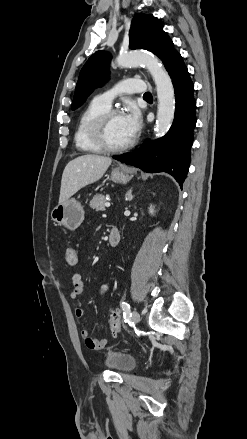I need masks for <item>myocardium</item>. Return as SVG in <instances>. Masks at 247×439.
Here are the masks:
<instances>
[{
  "instance_id": "1",
  "label": "myocardium",
  "mask_w": 247,
  "mask_h": 439,
  "mask_svg": "<svg viewBox=\"0 0 247 439\" xmlns=\"http://www.w3.org/2000/svg\"><path fill=\"white\" fill-rule=\"evenodd\" d=\"M116 115H121V112L115 109H109L101 114L94 122L92 127V139L94 143L104 152H121L129 149L134 144V139L120 146H112L107 140V127L109 120Z\"/></svg>"
}]
</instances>
